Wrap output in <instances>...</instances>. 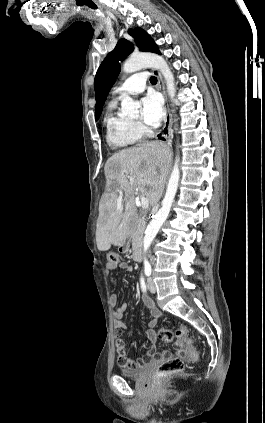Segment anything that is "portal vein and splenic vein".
Wrapping results in <instances>:
<instances>
[{"label": "portal vein and splenic vein", "mask_w": 265, "mask_h": 423, "mask_svg": "<svg viewBox=\"0 0 265 423\" xmlns=\"http://www.w3.org/2000/svg\"><path fill=\"white\" fill-rule=\"evenodd\" d=\"M140 205L142 206L143 209H146L149 207V201L146 197H141L140 199Z\"/></svg>", "instance_id": "portal-vein-and-splenic-vein-1"}]
</instances>
